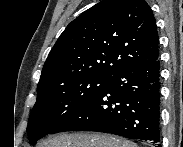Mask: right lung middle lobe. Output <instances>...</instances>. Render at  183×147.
I'll use <instances>...</instances> for the list:
<instances>
[{"instance_id": "obj_1", "label": "right lung middle lobe", "mask_w": 183, "mask_h": 147, "mask_svg": "<svg viewBox=\"0 0 183 147\" xmlns=\"http://www.w3.org/2000/svg\"><path fill=\"white\" fill-rule=\"evenodd\" d=\"M110 78L85 77L37 90L27 134L34 145L99 91Z\"/></svg>"}]
</instances>
